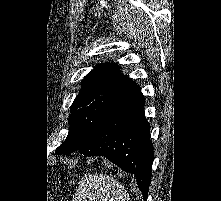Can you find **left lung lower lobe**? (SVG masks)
<instances>
[{
  "instance_id": "left-lung-lower-lobe-1",
  "label": "left lung lower lobe",
  "mask_w": 221,
  "mask_h": 201,
  "mask_svg": "<svg viewBox=\"0 0 221 201\" xmlns=\"http://www.w3.org/2000/svg\"><path fill=\"white\" fill-rule=\"evenodd\" d=\"M78 152L105 156L123 171L134 174L147 201L154 152L140 88L106 114Z\"/></svg>"
}]
</instances>
